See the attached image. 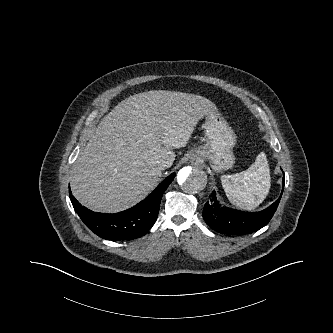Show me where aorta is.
Listing matches in <instances>:
<instances>
[{
    "instance_id": "762f6f07",
    "label": "aorta",
    "mask_w": 333,
    "mask_h": 333,
    "mask_svg": "<svg viewBox=\"0 0 333 333\" xmlns=\"http://www.w3.org/2000/svg\"><path fill=\"white\" fill-rule=\"evenodd\" d=\"M176 182L184 192L194 194L205 188L207 177L205 172L199 168L184 167L178 172Z\"/></svg>"
}]
</instances>
